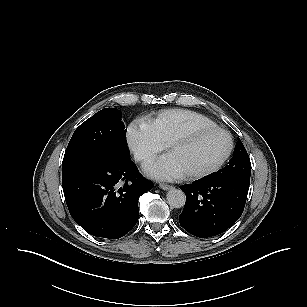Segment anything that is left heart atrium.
I'll return each mask as SVG.
<instances>
[{"instance_id":"left-heart-atrium-1","label":"left heart atrium","mask_w":307,"mask_h":307,"mask_svg":"<svg viewBox=\"0 0 307 307\" xmlns=\"http://www.w3.org/2000/svg\"><path fill=\"white\" fill-rule=\"evenodd\" d=\"M144 171L147 176L157 180L172 181L183 177L182 172L168 154L161 156L154 164L145 168Z\"/></svg>"}]
</instances>
